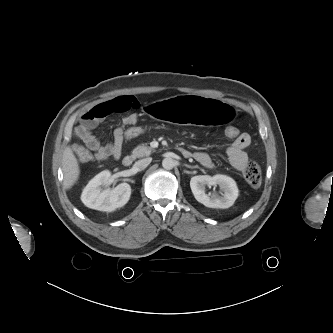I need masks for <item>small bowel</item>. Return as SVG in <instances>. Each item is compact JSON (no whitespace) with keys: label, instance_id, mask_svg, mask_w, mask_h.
<instances>
[{"label":"small bowel","instance_id":"1","mask_svg":"<svg viewBox=\"0 0 333 333\" xmlns=\"http://www.w3.org/2000/svg\"><path fill=\"white\" fill-rule=\"evenodd\" d=\"M140 108L138 100L134 96H119L114 99L101 102L82 113L80 125L76 128V136L81 140L83 146H76L93 154L94 158L105 161L109 158H120L122 154L123 137L122 129L130 124L138 122V115L135 112L123 117L121 124L115 128L113 139L105 145L93 135L92 131L106 117L114 113H127ZM251 138L247 133H241L234 139L227 148V157L235 169L243 171L248 162L246 148L249 146ZM193 158L207 168L213 166L211 157L204 152H195Z\"/></svg>","mask_w":333,"mask_h":333}]
</instances>
